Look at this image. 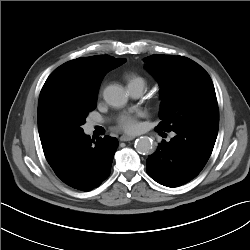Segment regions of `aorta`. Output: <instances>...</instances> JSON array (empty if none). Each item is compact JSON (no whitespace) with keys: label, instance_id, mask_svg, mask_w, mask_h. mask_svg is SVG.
<instances>
[{"label":"aorta","instance_id":"obj_1","mask_svg":"<svg viewBox=\"0 0 250 250\" xmlns=\"http://www.w3.org/2000/svg\"><path fill=\"white\" fill-rule=\"evenodd\" d=\"M104 100L113 107H123L128 96L120 85H109L103 92ZM135 149L140 154H149L153 151L154 145L149 137L142 136L135 141Z\"/></svg>","mask_w":250,"mask_h":250}]
</instances>
